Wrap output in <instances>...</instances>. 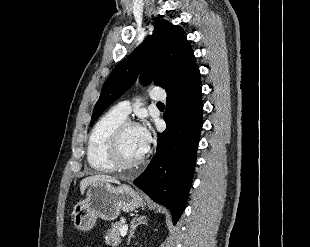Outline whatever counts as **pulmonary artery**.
Here are the masks:
<instances>
[{"instance_id":"obj_1","label":"pulmonary artery","mask_w":310,"mask_h":247,"mask_svg":"<svg viewBox=\"0 0 310 247\" xmlns=\"http://www.w3.org/2000/svg\"><path fill=\"white\" fill-rule=\"evenodd\" d=\"M150 97L154 101H162L165 99L166 95L162 92L161 88H153L150 92ZM121 115L127 117L131 111V104L129 101H123L118 103L114 107Z\"/></svg>"}]
</instances>
